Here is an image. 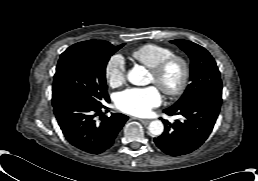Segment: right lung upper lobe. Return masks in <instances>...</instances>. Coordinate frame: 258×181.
<instances>
[{"label": "right lung upper lobe", "instance_id": "cb5924a9", "mask_svg": "<svg viewBox=\"0 0 258 181\" xmlns=\"http://www.w3.org/2000/svg\"><path fill=\"white\" fill-rule=\"evenodd\" d=\"M89 41L96 42V43H104V42H106L104 40H89Z\"/></svg>", "mask_w": 258, "mask_h": 181}]
</instances>
